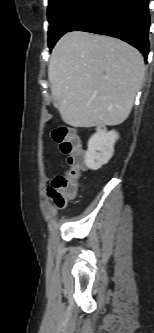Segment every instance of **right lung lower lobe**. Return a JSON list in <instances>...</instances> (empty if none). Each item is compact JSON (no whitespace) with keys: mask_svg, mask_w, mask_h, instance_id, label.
I'll return each instance as SVG.
<instances>
[{"mask_svg":"<svg viewBox=\"0 0 154 333\" xmlns=\"http://www.w3.org/2000/svg\"><path fill=\"white\" fill-rule=\"evenodd\" d=\"M149 0H99L70 31H86L119 38L147 59Z\"/></svg>","mask_w":154,"mask_h":333,"instance_id":"98d812e1","label":"right lung lower lobe"}]
</instances>
